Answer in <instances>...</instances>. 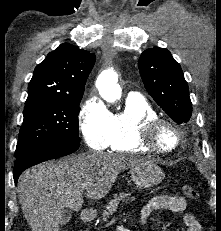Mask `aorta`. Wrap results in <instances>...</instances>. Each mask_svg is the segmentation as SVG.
Listing matches in <instances>:
<instances>
[{"instance_id": "obj_1", "label": "aorta", "mask_w": 221, "mask_h": 231, "mask_svg": "<svg viewBox=\"0 0 221 231\" xmlns=\"http://www.w3.org/2000/svg\"><path fill=\"white\" fill-rule=\"evenodd\" d=\"M118 76L113 70H107L102 72L97 81L96 86L99 94L107 102H115L121 98V87L119 86Z\"/></svg>"}]
</instances>
